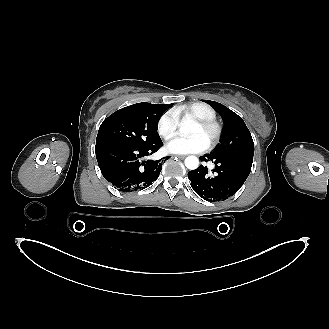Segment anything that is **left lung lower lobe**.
I'll list each match as a JSON object with an SVG mask.
<instances>
[{"mask_svg": "<svg viewBox=\"0 0 329 329\" xmlns=\"http://www.w3.org/2000/svg\"><path fill=\"white\" fill-rule=\"evenodd\" d=\"M215 163L213 175L200 166L188 173L193 190L208 201H224L233 196L250 174L252 162L234 157L207 154L200 159Z\"/></svg>", "mask_w": 329, "mask_h": 329, "instance_id": "obj_1", "label": "left lung lower lobe"}]
</instances>
